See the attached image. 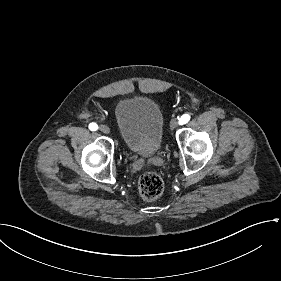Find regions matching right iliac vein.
Here are the masks:
<instances>
[{
  "label": "right iliac vein",
  "mask_w": 281,
  "mask_h": 281,
  "mask_svg": "<svg viewBox=\"0 0 281 281\" xmlns=\"http://www.w3.org/2000/svg\"><path fill=\"white\" fill-rule=\"evenodd\" d=\"M99 129H100L101 132H103V133H105V134H109V133H110V129H109V127L106 126V125H101V126L99 127Z\"/></svg>",
  "instance_id": "obj_1"
}]
</instances>
